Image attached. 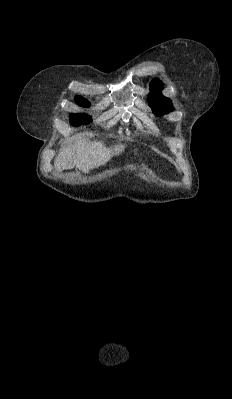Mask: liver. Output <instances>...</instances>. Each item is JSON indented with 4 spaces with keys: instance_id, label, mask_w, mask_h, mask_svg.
Listing matches in <instances>:
<instances>
[{
    "instance_id": "obj_1",
    "label": "liver",
    "mask_w": 232,
    "mask_h": 399,
    "mask_svg": "<svg viewBox=\"0 0 232 399\" xmlns=\"http://www.w3.org/2000/svg\"><path fill=\"white\" fill-rule=\"evenodd\" d=\"M124 148L122 144L105 148L102 142H86L83 138H76L71 148L63 146L55 158V166L57 170H72L76 166L84 174H89L93 168L104 166L112 156H119Z\"/></svg>"
}]
</instances>
